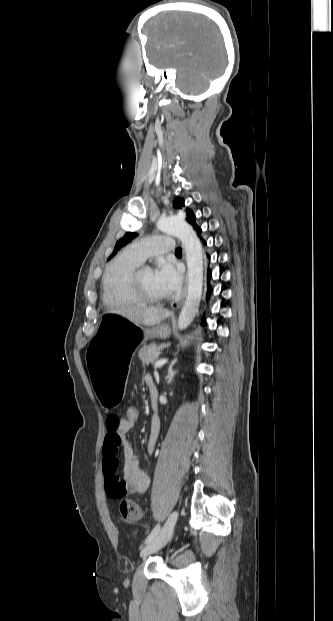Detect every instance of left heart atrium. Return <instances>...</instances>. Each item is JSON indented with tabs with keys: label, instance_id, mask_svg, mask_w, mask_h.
<instances>
[{
	"label": "left heart atrium",
	"instance_id": "1",
	"mask_svg": "<svg viewBox=\"0 0 333 621\" xmlns=\"http://www.w3.org/2000/svg\"><path fill=\"white\" fill-rule=\"evenodd\" d=\"M154 276L166 294L176 292L182 284L181 272L171 262H161L154 271Z\"/></svg>",
	"mask_w": 333,
	"mask_h": 621
}]
</instances>
